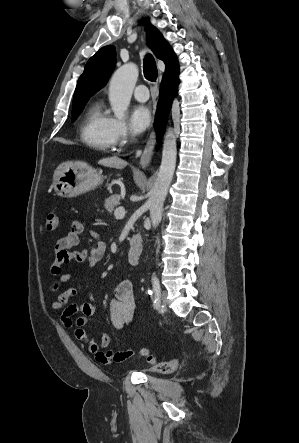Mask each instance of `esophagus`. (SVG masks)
Returning a JSON list of instances; mask_svg holds the SVG:
<instances>
[{
  "label": "esophagus",
  "mask_w": 299,
  "mask_h": 443,
  "mask_svg": "<svg viewBox=\"0 0 299 443\" xmlns=\"http://www.w3.org/2000/svg\"><path fill=\"white\" fill-rule=\"evenodd\" d=\"M155 142H156L155 132L152 131L148 137V140L146 142V146H145L142 156L140 158V166L142 168H146L149 165L151 158H152Z\"/></svg>",
  "instance_id": "1"
}]
</instances>
